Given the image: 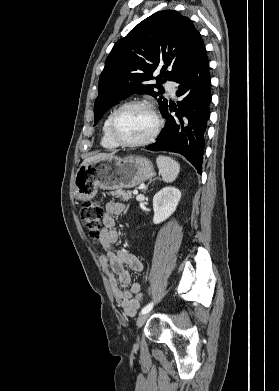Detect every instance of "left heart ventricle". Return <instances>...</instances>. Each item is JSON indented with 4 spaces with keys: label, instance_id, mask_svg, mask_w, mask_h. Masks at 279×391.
<instances>
[{
    "label": "left heart ventricle",
    "instance_id": "obj_1",
    "mask_svg": "<svg viewBox=\"0 0 279 391\" xmlns=\"http://www.w3.org/2000/svg\"><path fill=\"white\" fill-rule=\"evenodd\" d=\"M155 126L150 111L143 107L122 110L115 122V132L124 141H140L147 138Z\"/></svg>",
    "mask_w": 279,
    "mask_h": 391
}]
</instances>
